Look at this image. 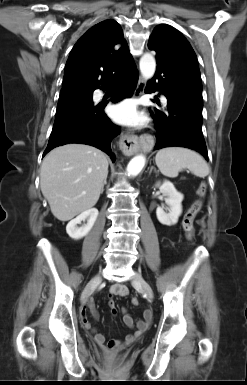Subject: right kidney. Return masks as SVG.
<instances>
[{
	"instance_id": "ca27d5eb",
	"label": "right kidney",
	"mask_w": 247,
	"mask_h": 385,
	"mask_svg": "<svg viewBox=\"0 0 247 385\" xmlns=\"http://www.w3.org/2000/svg\"><path fill=\"white\" fill-rule=\"evenodd\" d=\"M98 217V210L96 208L88 209L78 215L75 219L71 220L66 226L67 234L75 240L81 239L86 236L92 229L96 219ZM87 221L82 227H78L82 221Z\"/></svg>"
}]
</instances>
